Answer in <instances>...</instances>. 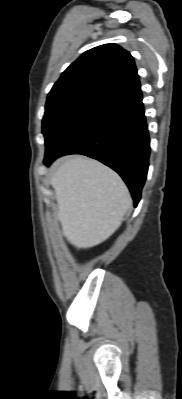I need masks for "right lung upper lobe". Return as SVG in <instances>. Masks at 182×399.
Wrapping results in <instances>:
<instances>
[{
    "instance_id": "obj_1",
    "label": "right lung upper lobe",
    "mask_w": 182,
    "mask_h": 399,
    "mask_svg": "<svg viewBox=\"0 0 182 399\" xmlns=\"http://www.w3.org/2000/svg\"><path fill=\"white\" fill-rule=\"evenodd\" d=\"M140 88L133 57L116 44L83 53L54 84L48 98L85 94L105 101Z\"/></svg>"
}]
</instances>
